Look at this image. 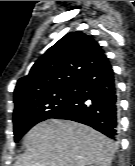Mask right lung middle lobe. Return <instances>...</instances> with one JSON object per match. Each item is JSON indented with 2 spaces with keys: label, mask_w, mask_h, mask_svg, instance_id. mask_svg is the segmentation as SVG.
Masks as SVG:
<instances>
[{
  "label": "right lung middle lobe",
  "mask_w": 135,
  "mask_h": 166,
  "mask_svg": "<svg viewBox=\"0 0 135 166\" xmlns=\"http://www.w3.org/2000/svg\"><path fill=\"white\" fill-rule=\"evenodd\" d=\"M74 95L75 87H70L15 108L13 113L15 142H18L34 125L51 118L55 113L69 106Z\"/></svg>",
  "instance_id": "obj_1"
}]
</instances>
